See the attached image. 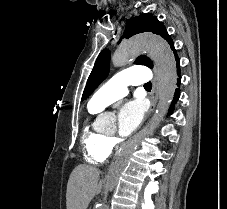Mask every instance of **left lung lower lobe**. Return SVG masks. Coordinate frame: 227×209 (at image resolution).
Wrapping results in <instances>:
<instances>
[{"label": "left lung lower lobe", "mask_w": 227, "mask_h": 209, "mask_svg": "<svg viewBox=\"0 0 227 209\" xmlns=\"http://www.w3.org/2000/svg\"><path fill=\"white\" fill-rule=\"evenodd\" d=\"M171 49L174 52V55H175V58H176V61H177V64H176L177 65V74L180 77V61H179V58L177 56V52H176L174 46H172ZM177 80H178L177 81V85L179 86L180 85V78H178ZM179 96H180V91H179V89H176L175 95H174V99H173V104L178 100ZM173 109L174 108H173V105H172L170 107V110H169V114L168 115H170L172 113Z\"/></svg>", "instance_id": "1"}]
</instances>
